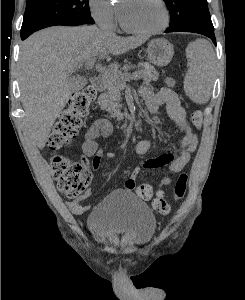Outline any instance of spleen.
Instances as JSON below:
<instances>
[{
	"instance_id": "3e777b00",
	"label": "spleen",
	"mask_w": 245,
	"mask_h": 300,
	"mask_svg": "<svg viewBox=\"0 0 245 300\" xmlns=\"http://www.w3.org/2000/svg\"><path fill=\"white\" fill-rule=\"evenodd\" d=\"M189 68L184 79L186 95L197 104L206 103L213 85L214 52L211 44L203 39L187 47Z\"/></svg>"
}]
</instances>
